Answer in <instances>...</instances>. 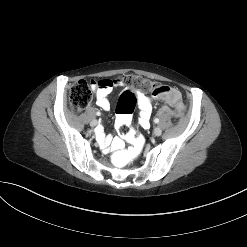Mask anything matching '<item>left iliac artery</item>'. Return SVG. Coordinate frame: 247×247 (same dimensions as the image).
Returning a JSON list of instances; mask_svg holds the SVG:
<instances>
[{"label": "left iliac artery", "instance_id": "44dca946", "mask_svg": "<svg viewBox=\"0 0 247 247\" xmlns=\"http://www.w3.org/2000/svg\"><path fill=\"white\" fill-rule=\"evenodd\" d=\"M154 122H155V123H159V119H158V118H155V119H154Z\"/></svg>", "mask_w": 247, "mask_h": 247}]
</instances>
